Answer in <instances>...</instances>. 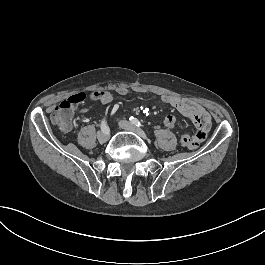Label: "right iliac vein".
<instances>
[{
    "instance_id": "right-iliac-vein-1",
    "label": "right iliac vein",
    "mask_w": 265,
    "mask_h": 265,
    "mask_svg": "<svg viewBox=\"0 0 265 265\" xmlns=\"http://www.w3.org/2000/svg\"><path fill=\"white\" fill-rule=\"evenodd\" d=\"M109 137H110V131H107V132L100 131L98 132V135H97V138L100 143H106Z\"/></svg>"
}]
</instances>
